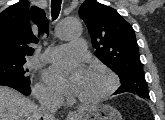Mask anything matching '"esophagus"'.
Masks as SVG:
<instances>
[{"instance_id": "esophagus-1", "label": "esophagus", "mask_w": 165, "mask_h": 120, "mask_svg": "<svg viewBox=\"0 0 165 120\" xmlns=\"http://www.w3.org/2000/svg\"><path fill=\"white\" fill-rule=\"evenodd\" d=\"M72 117V115L70 114V115H68V119H70Z\"/></svg>"}]
</instances>
